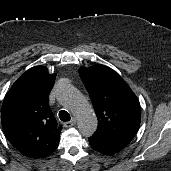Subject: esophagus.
<instances>
[{
	"instance_id": "obj_1",
	"label": "esophagus",
	"mask_w": 171,
	"mask_h": 171,
	"mask_svg": "<svg viewBox=\"0 0 171 171\" xmlns=\"http://www.w3.org/2000/svg\"><path fill=\"white\" fill-rule=\"evenodd\" d=\"M76 122H77L76 118L73 117V118L71 119V121L65 122V123H64V127H71V126H74V125L76 124Z\"/></svg>"
}]
</instances>
